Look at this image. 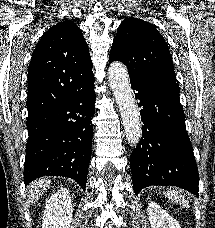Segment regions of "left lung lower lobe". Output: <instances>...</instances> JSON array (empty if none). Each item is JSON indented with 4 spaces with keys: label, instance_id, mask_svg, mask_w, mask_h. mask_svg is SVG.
<instances>
[{
    "label": "left lung lower lobe",
    "instance_id": "0a47b994",
    "mask_svg": "<svg viewBox=\"0 0 215 228\" xmlns=\"http://www.w3.org/2000/svg\"><path fill=\"white\" fill-rule=\"evenodd\" d=\"M130 81L144 123L130 157L135 194L156 185L178 186L198 196L199 175L178 84Z\"/></svg>",
    "mask_w": 215,
    "mask_h": 228
}]
</instances>
